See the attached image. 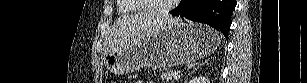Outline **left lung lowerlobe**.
Returning <instances> with one entry per match:
<instances>
[{"instance_id":"1","label":"left lung lower lobe","mask_w":307,"mask_h":83,"mask_svg":"<svg viewBox=\"0 0 307 83\" xmlns=\"http://www.w3.org/2000/svg\"><path fill=\"white\" fill-rule=\"evenodd\" d=\"M235 0H181L173 16H183L189 20L210 25L221 31L228 39Z\"/></svg>"}]
</instances>
